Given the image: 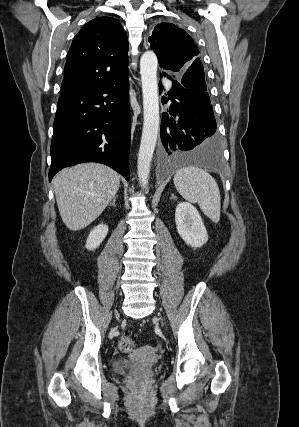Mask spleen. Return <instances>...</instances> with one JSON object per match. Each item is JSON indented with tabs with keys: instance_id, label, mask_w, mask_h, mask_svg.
I'll return each instance as SVG.
<instances>
[{
	"instance_id": "obj_1",
	"label": "spleen",
	"mask_w": 299,
	"mask_h": 427,
	"mask_svg": "<svg viewBox=\"0 0 299 427\" xmlns=\"http://www.w3.org/2000/svg\"><path fill=\"white\" fill-rule=\"evenodd\" d=\"M179 194L191 203H198L202 212L214 223L220 220L221 197L215 179L205 170L190 166L181 168L173 178Z\"/></svg>"
}]
</instances>
